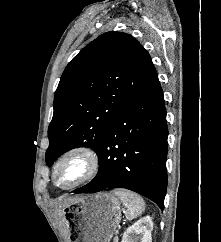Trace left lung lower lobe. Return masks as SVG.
I'll use <instances>...</instances> for the list:
<instances>
[{
  "label": "left lung lower lobe",
  "instance_id": "left-lung-lower-lobe-1",
  "mask_svg": "<svg viewBox=\"0 0 221 242\" xmlns=\"http://www.w3.org/2000/svg\"><path fill=\"white\" fill-rule=\"evenodd\" d=\"M167 137L163 91L156 77L110 124L97 152L100 165L96 177L74 193L126 188L163 210Z\"/></svg>",
  "mask_w": 221,
  "mask_h": 242
}]
</instances>
